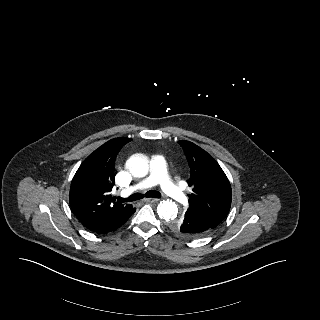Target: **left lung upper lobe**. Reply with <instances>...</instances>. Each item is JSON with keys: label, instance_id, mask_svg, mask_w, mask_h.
<instances>
[{"label": "left lung upper lobe", "instance_id": "left-lung-upper-lobe-1", "mask_svg": "<svg viewBox=\"0 0 320 320\" xmlns=\"http://www.w3.org/2000/svg\"><path fill=\"white\" fill-rule=\"evenodd\" d=\"M190 166L189 207L186 212L200 216L216 228L227 216L231 206L232 192L230 182L216 160L196 144L181 140ZM180 220L172 223L178 230Z\"/></svg>", "mask_w": 320, "mask_h": 320}]
</instances>
